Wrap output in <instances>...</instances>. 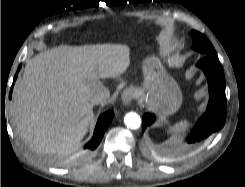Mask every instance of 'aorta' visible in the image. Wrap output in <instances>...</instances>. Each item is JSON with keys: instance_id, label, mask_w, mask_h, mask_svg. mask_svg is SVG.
<instances>
[{"instance_id": "obj_1", "label": "aorta", "mask_w": 245, "mask_h": 187, "mask_svg": "<svg viewBox=\"0 0 245 187\" xmlns=\"http://www.w3.org/2000/svg\"><path fill=\"white\" fill-rule=\"evenodd\" d=\"M124 123L128 128L138 129L141 125V118L135 112H129L124 117Z\"/></svg>"}]
</instances>
